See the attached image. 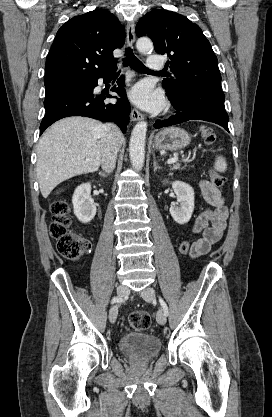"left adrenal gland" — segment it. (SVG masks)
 Returning a JSON list of instances; mask_svg holds the SVG:
<instances>
[{
    "instance_id": "obj_1",
    "label": "left adrenal gland",
    "mask_w": 272,
    "mask_h": 417,
    "mask_svg": "<svg viewBox=\"0 0 272 417\" xmlns=\"http://www.w3.org/2000/svg\"><path fill=\"white\" fill-rule=\"evenodd\" d=\"M153 167H154V172H155V171H157V169H162V167H161V166H158V165H157V162H156L155 157H154Z\"/></svg>"
}]
</instances>
